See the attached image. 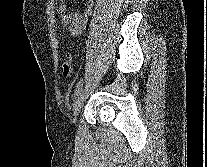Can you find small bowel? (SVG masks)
Here are the masks:
<instances>
[{
	"mask_svg": "<svg viewBox=\"0 0 207 167\" xmlns=\"http://www.w3.org/2000/svg\"><path fill=\"white\" fill-rule=\"evenodd\" d=\"M93 5L94 0H87L86 7L82 11H70L68 0H60L58 11L61 16V27L72 36L81 34L88 24Z\"/></svg>",
	"mask_w": 207,
	"mask_h": 167,
	"instance_id": "1",
	"label": "small bowel"
}]
</instances>
